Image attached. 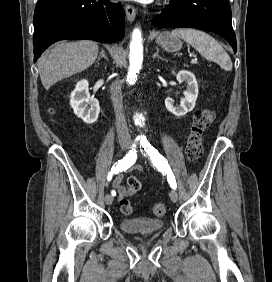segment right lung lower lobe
Wrapping results in <instances>:
<instances>
[{"label":"right lung lower lobe","mask_w":272,"mask_h":282,"mask_svg":"<svg viewBox=\"0 0 272 282\" xmlns=\"http://www.w3.org/2000/svg\"><path fill=\"white\" fill-rule=\"evenodd\" d=\"M125 12L109 0H38L34 12V61L63 39L118 41L125 34Z\"/></svg>","instance_id":"1"}]
</instances>
